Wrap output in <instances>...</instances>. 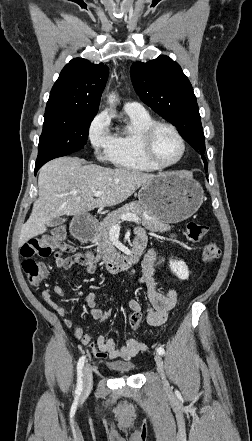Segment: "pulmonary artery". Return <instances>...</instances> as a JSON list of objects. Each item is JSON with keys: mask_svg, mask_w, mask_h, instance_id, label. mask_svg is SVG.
I'll return each instance as SVG.
<instances>
[{"mask_svg": "<svg viewBox=\"0 0 252 441\" xmlns=\"http://www.w3.org/2000/svg\"><path fill=\"white\" fill-rule=\"evenodd\" d=\"M123 108H124L125 112H128V113L142 114V113L146 112V110L142 106V104H140L138 102H126L124 104Z\"/></svg>", "mask_w": 252, "mask_h": 441, "instance_id": "pulmonary-artery-1", "label": "pulmonary artery"}]
</instances>
